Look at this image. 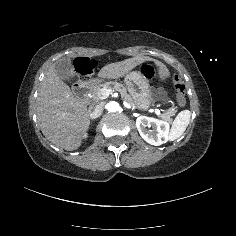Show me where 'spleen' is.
Segmentation results:
<instances>
[{"label": "spleen", "mask_w": 236, "mask_h": 236, "mask_svg": "<svg viewBox=\"0 0 236 236\" xmlns=\"http://www.w3.org/2000/svg\"><path fill=\"white\" fill-rule=\"evenodd\" d=\"M191 118V112L189 110L181 111L173 121L168 139L174 141L178 139L185 132Z\"/></svg>", "instance_id": "spleen-1"}]
</instances>
